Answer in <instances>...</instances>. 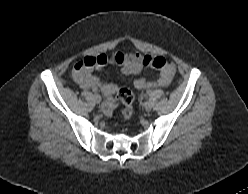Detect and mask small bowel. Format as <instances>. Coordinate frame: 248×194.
I'll use <instances>...</instances> for the list:
<instances>
[{
	"label": "small bowel",
	"mask_w": 248,
	"mask_h": 194,
	"mask_svg": "<svg viewBox=\"0 0 248 194\" xmlns=\"http://www.w3.org/2000/svg\"><path fill=\"white\" fill-rule=\"evenodd\" d=\"M147 56H143L138 53H126L115 52L110 57L101 54L95 57H86L81 60V63H87L94 60L97 64L96 67H84L80 68L78 63L73 70V78L76 83L83 89H89L92 91L100 90L104 95L111 96L117 86L114 83H107L101 80L99 77L92 74L94 68H107L109 65L118 64L120 66V72L124 75L139 74L145 68V59ZM174 71L171 68L159 69V76L154 80L149 79H137L134 81L133 86L138 90L151 89L168 86L173 78ZM113 104L108 102L103 106V112L108 114L112 109Z\"/></svg>",
	"instance_id": "obj_1"
}]
</instances>
